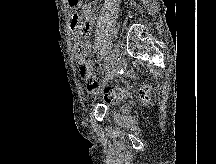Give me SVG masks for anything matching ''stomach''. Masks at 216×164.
<instances>
[{
  "label": "stomach",
  "instance_id": "1",
  "mask_svg": "<svg viewBox=\"0 0 216 164\" xmlns=\"http://www.w3.org/2000/svg\"><path fill=\"white\" fill-rule=\"evenodd\" d=\"M82 2H83V0H67V3L71 8L80 7Z\"/></svg>",
  "mask_w": 216,
  "mask_h": 164
}]
</instances>
